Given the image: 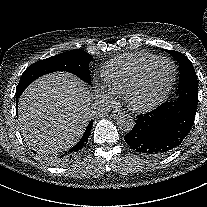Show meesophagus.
<instances>
[{
    "instance_id": "esophagus-1",
    "label": "esophagus",
    "mask_w": 207,
    "mask_h": 207,
    "mask_svg": "<svg viewBox=\"0 0 207 207\" xmlns=\"http://www.w3.org/2000/svg\"><path fill=\"white\" fill-rule=\"evenodd\" d=\"M123 112L120 109H115L111 112V116L113 118H117L118 116L122 115Z\"/></svg>"
}]
</instances>
